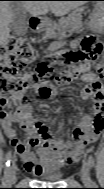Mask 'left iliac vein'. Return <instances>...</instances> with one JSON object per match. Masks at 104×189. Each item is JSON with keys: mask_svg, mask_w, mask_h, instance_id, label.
<instances>
[{"mask_svg": "<svg viewBox=\"0 0 104 189\" xmlns=\"http://www.w3.org/2000/svg\"><path fill=\"white\" fill-rule=\"evenodd\" d=\"M81 180L84 185L91 186L92 180L90 177L89 165L87 163L83 164L81 168Z\"/></svg>", "mask_w": 104, "mask_h": 189, "instance_id": "1", "label": "left iliac vein"}]
</instances>
